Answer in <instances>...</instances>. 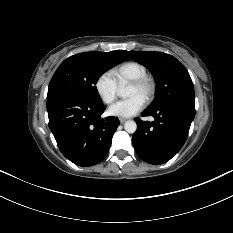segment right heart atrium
<instances>
[{
	"instance_id": "right-heart-atrium-1",
	"label": "right heart atrium",
	"mask_w": 233,
	"mask_h": 233,
	"mask_svg": "<svg viewBox=\"0 0 233 233\" xmlns=\"http://www.w3.org/2000/svg\"><path fill=\"white\" fill-rule=\"evenodd\" d=\"M94 89L105 104L112 103L117 96V84L109 73H102L96 78Z\"/></svg>"
}]
</instances>
